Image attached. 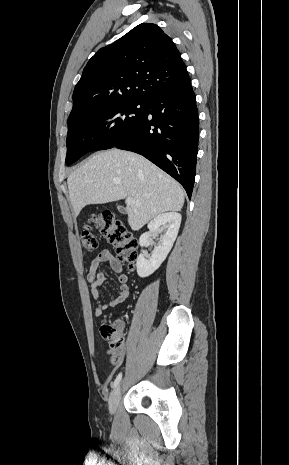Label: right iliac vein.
I'll list each match as a JSON object with an SVG mask.
<instances>
[{
    "label": "right iliac vein",
    "mask_w": 289,
    "mask_h": 465,
    "mask_svg": "<svg viewBox=\"0 0 289 465\" xmlns=\"http://www.w3.org/2000/svg\"><path fill=\"white\" fill-rule=\"evenodd\" d=\"M120 398H121V386L118 385L117 387L114 388L109 398V411L111 414L115 413L118 403L120 401Z\"/></svg>",
    "instance_id": "obj_1"
}]
</instances>
